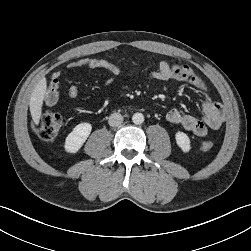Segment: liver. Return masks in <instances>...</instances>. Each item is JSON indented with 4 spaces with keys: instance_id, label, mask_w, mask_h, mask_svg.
Returning <instances> with one entry per match:
<instances>
[{
    "instance_id": "liver-1",
    "label": "liver",
    "mask_w": 251,
    "mask_h": 251,
    "mask_svg": "<svg viewBox=\"0 0 251 251\" xmlns=\"http://www.w3.org/2000/svg\"><path fill=\"white\" fill-rule=\"evenodd\" d=\"M47 89V82L46 78L43 77L34 88L30 101H29V107H30V113L33 119V122L38 125L41 114H42V105L45 98Z\"/></svg>"
}]
</instances>
